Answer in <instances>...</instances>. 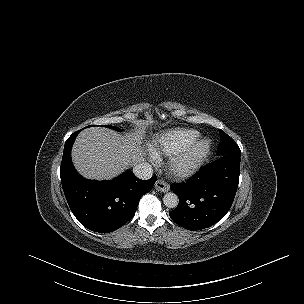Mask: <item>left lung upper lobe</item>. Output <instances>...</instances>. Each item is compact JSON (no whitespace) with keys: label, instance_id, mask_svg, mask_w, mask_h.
<instances>
[{"label":"left lung upper lobe","instance_id":"obj_1","mask_svg":"<svg viewBox=\"0 0 304 304\" xmlns=\"http://www.w3.org/2000/svg\"><path fill=\"white\" fill-rule=\"evenodd\" d=\"M221 141L217 148V153L223 155L230 152H241L236 142L227 135L223 130L219 129Z\"/></svg>","mask_w":304,"mask_h":304}]
</instances>
